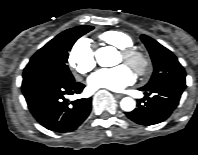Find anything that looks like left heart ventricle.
<instances>
[{
  "label": "left heart ventricle",
  "instance_id": "left-heart-ventricle-1",
  "mask_svg": "<svg viewBox=\"0 0 198 155\" xmlns=\"http://www.w3.org/2000/svg\"><path fill=\"white\" fill-rule=\"evenodd\" d=\"M123 60L122 57L120 56V61Z\"/></svg>",
  "mask_w": 198,
  "mask_h": 155
}]
</instances>
